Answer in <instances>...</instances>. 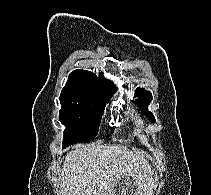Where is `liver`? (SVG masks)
Returning <instances> with one entry per match:
<instances>
[{
	"mask_svg": "<svg viewBox=\"0 0 211 195\" xmlns=\"http://www.w3.org/2000/svg\"><path fill=\"white\" fill-rule=\"evenodd\" d=\"M132 178L137 191H116ZM157 178L149 162L121 145H79L65 156L60 195H153Z\"/></svg>",
	"mask_w": 211,
	"mask_h": 195,
	"instance_id": "obj_1",
	"label": "liver"
}]
</instances>
